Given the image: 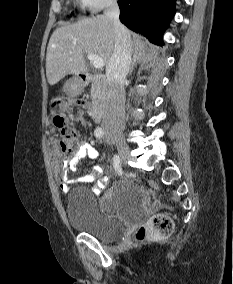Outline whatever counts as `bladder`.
Segmentation results:
<instances>
[{"label":"bladder","instance_id":"31cf9c89","mask_svg":"<svg viewBox=\"0 0 233 284\" xmlns=\"http://www.w3.org/2000/svg\"><path fill=\"white\" fill-rule=\"evenodd\" d=\"M103 202H114L125 207L137 206L140 202V191L130 182H121L114 187L110 196L104 197ZM67 216L74 229L101 241H113L125 229L120 219L102 213L95 197L82 188L70 191L67 198Z\"/></svg>","mask_w":233,"mask_h":284}]
</instances>
